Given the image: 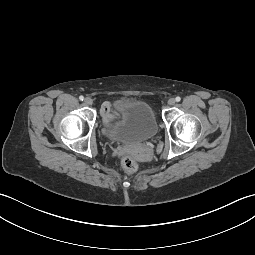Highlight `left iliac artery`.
Masks as SVG:
<instances>
[{
	"label": "left iliac artery",
	"instance_id": "44dca946",
	"mask_svg": "<svg viewBox=\"0 0 255 255\" xmlns=\"http://www.w3.org/2000/svg\"><path fill=\"white\" fill-rule=\"evenodd\" d=\"M175 100H176L177 102H179V101L181 100V98H180L179 96H177V97L175 98Z\"/></svg>",
	"mask_w": 255,
	"mask_h": 255
}]
</instances>
